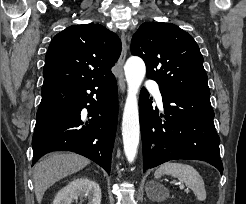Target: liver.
<instances>
[{
  "label": "liver",
  "mask_w": 246,
  "mask_h": 204,
  "mask_svg": "<svg viewBox=\"0 0 246 204\" xmlns=\"http://www.w3.org/2000/svg\"><path fill=\"white\" fill-rule=\"evenodd\" d=\"M90 163L89 159L75 153H55L34 167V189L40 204L45 191L60 179L73 174Z\"/></svg>",
  "instance_id": "6515ba94"
}]
</instances>
